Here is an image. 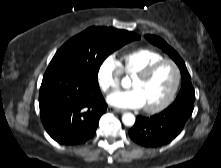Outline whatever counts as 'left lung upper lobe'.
Listing matches in <instances>:
<instances>
[{
    "label": "left lung upper lobe",
    "instance_id": "obj_1",
    "mask_svg": "<svg viewBox=\"0 0 221 168\" xmlns=\"http://www.w3.org/2000/svg\"><path fill=\"white\" fill-rule=\"evenodd\" d=\"M147 40H149L152 44L157 45L158 47L162 48L164 52H166L179 66L182 76V84H181V90L178 97L191 95L195 96V92L191 83V77L188 73V70L185 66L184 61L179 56V54L171 48L163 39L153 36V35H146L145 36Z\"/></svg>",
    "mask_w": 221,
    "mask_h": 168
}]
</instances>
